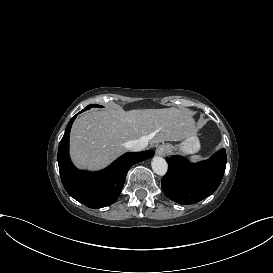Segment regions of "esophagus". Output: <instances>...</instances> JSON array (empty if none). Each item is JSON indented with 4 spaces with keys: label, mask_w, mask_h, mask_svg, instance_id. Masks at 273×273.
Returning a JSON list of instances; mask_svg holds the SVG:
<instances>
[{
    "label": "esophagus",
    "mask_w": 273,
    "mask_h": 273,
    "mask_svg": "<svg viewBox=\"0 0 273 273\" xmlns=\"http://www.w3.org/2000/svg\"><path fill=\"white\" fill-rule=\"evenodd\" d=\"M168 145H160L156 149V154L159 156H164L168 152Z\"/></svg>",
    "instance_id": "1"
}]
</instances>
